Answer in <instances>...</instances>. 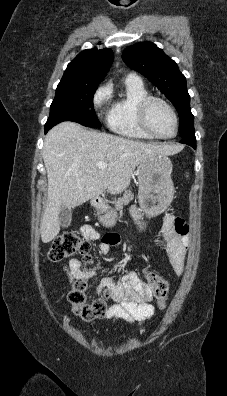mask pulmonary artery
<instances>
[{
  "instance_id": "obj_1",
  "label": "pulmonary artery",
  "mask_w": 227,
  "mask_h": 396,
  "mask_svg": "<svg viewBox=\"0 0 227 396\" xmlns=\"http://www.w3.org/2000/svg\"><path fill=\"white\" fill-rule=\"evenodd\" d=\"M127 78L140 80V78L137 75H135V74H130V75L127 76Z\"/></svg>"
}]
</instances>
